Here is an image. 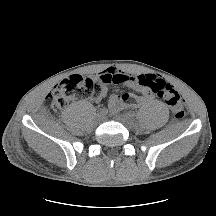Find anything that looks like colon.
I'll return each instance as SVG.
<instances>
[{
	"label": "colon",
	"mask_w": 216,
	"mask_h": 216,
	"mask_svg": "<svg viewBox=\"0 0 216 216\" xmlns=\"http://www.w3.org/2000/svg\"><path fill=\"white\" fill-rule=\"evenodd\" d=\"M146 85L151 92L161 98L170 108L177 120L184 118V102L181 95L163 79H150ZM101 93V85L92 78L82 75H71L62 80L49 94L51 111L60 112L77 98L96 99ZM122 101L129 99L128 94L119 96Z\"/></svg>",
	"instance_id": "1"
}]
</instances>
